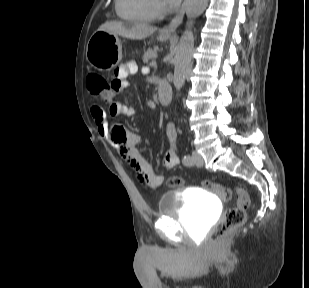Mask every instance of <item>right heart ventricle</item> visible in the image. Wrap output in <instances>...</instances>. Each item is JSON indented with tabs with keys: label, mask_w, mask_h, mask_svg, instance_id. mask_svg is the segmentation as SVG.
<instances>
[{
	"label": "right heart ventricle",
	"mask_w": 309,
	"mask_h": 288,
	"mask_svg": "<svg viewBox=\"0 0 309 288\" xmlns=\"http://www.w3.org/2000/svg\"><path fill=\"white\" fill-rule=\"evenodd\" d=\"M115 7L122 19L135 23L152 22L159 14L154 0H115Z\"/></svg>",
	"instance_id": "1"
}]
</instances>
